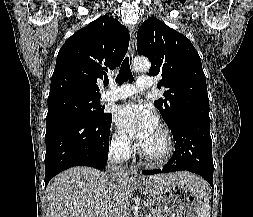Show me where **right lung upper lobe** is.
I'll return each mask as SVG.
<instances>
[{"label": "right lung upper lobe", "mask_w": 253, "mask_h": 217, "mask_svg": "<svg viewBox=\"0 0 253 217\" xmlns=\"http://www.w3.org/2000/svg\"><path fill=\"white\" fill-rule=\"evenodd\" d=\"M129 32L118 20L102 16L77 31L61 47L51 78L48 102L67 97H100L98 79L123 60Z\"/></svg>", "instance_id": "1"}]
</instances>
